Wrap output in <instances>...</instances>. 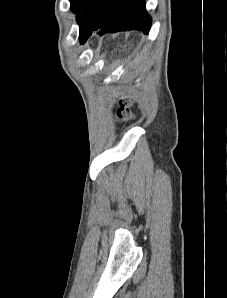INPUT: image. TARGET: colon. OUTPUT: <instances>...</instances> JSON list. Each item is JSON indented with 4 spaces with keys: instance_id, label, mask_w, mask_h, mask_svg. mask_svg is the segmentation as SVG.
I'll use <instances>...</instances> for the list:
<instances>
[{
    "instance_id": "1",
    "label": "colon",
    "mask_w": 227,
    "mask_h": 298,
    "mask_svg": "<svg viewBox=\"0 0 227 298\" xmlns=\"http://www.w3.org/2000/svg\"><path fill=\"white\" fill-rule=\"evenodd\" d=\"M132 102L126 99L120 101L119 108L116 113L117 120L120 122H128L134 119L132 111Z\"/></svg>"
}]
</instances>
